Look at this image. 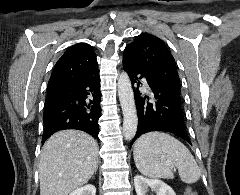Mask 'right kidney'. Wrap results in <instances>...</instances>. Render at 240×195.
<instances>
[{
    "label": "right kidney",
    "mask_w": 240,
    "mask_h": 195,
    "mask_svg": "<svg viewBox=\"0 0 240 195\" xmlns=\"http://www.w3.org/2000/svg\"><path fill=\"white\" fill-rule=\"evenodd\" d=\"M69 195H96V187L92 185V183H88V185H83V187L74 189Z\"/></svg>",
    "instance_id": "right-kidney-1"
}]
</instances>
